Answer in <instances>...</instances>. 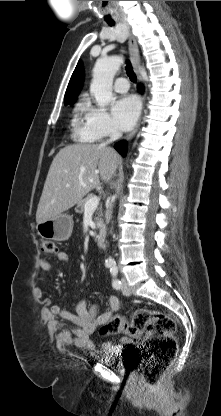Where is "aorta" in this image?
Returning <instances> with one entry per match:
<instances>
[{
    "mask_svg": "<svg viewBox=\"0 0 221 416\" xmlns=\"http://www.w3.org/2000/svg\"><path fill=\"white\" fill-rule=\"evenodd\" d=\"M122 62L123 60L120 56H111L97 60L93 69L90 92L94 95L98 106L104 107L112 101L113 78ZM106 264L113 266L115 261L112 257H109L106 259Z\"/></svg>",
    "mask_w": 221,
    "mask_h": 416,
    "instance_id": "aorta-1",
    "label": "aorta"
}]
</instances>
